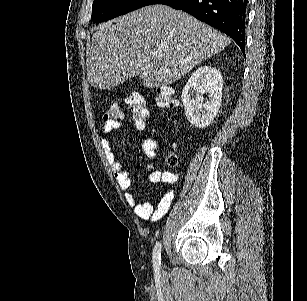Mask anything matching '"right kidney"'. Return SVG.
<instances>
[{
	"mask_svg": "<svg viewBox=\"0 0 307 301\" xmlns=\"http://www.w3.org/2000/svg\"><path fill=\"white\" fill-rule=\"evenodd\" d=\"M223 76L214 66H199L192 72L182 88L181 100L185 116L197 128H205L213 122L222 102ZM204 92L209 100L203 102Z\"/></svg>",
	"mask_w": 307,
	"mask_h": 301,
	"instance_id": "1",
	"label": "right kidney"
}]
</instances>
